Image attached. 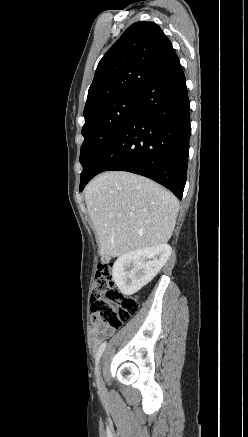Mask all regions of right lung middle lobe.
Segmentation results:
<instances>
[{
    "label": "right lung middle lobe",
    "mask_w": 248,
    "mask_h": 437,
    "mask_svg": "<svg viewBox=\"0 0 248 437\" xmlns=\"http://www.w3.org/2000/svg\"><path fill=\"white\" fill-rule=\"evenodd\" d=\"M138 94L119 96L85 116L84 142L80 151L83 166L81 179L89 172L93 160L118 131L132 111Z\"/></svg>",
    "instance_id": "obj_1"
}]
</instances>
